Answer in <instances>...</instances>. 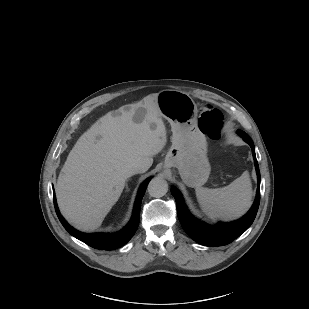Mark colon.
I'll use <instances>...</instances> for the list:
<instances>
[{
  "label": "colon",
  "mask_w": 309,
  "mask_h": 309,
  "mask_svg": "<svg viewBox=\"0 0 309 309\" xmlns=\"http://www.w3.org/2000/svg\"><path fill=\"white\" fill-rule=\"evenodd\" d=\"M222 126L223 117L219 110L210 105L200 110L198 128L201 132L212 138H219Z\"/></svg>",
  "instance_id": "colon-1"
}]
</instances>
